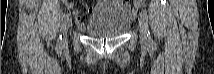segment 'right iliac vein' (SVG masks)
<instances>
[{"label": "right iliac vein", "mask_w": 214, "mask_h": 74, "mask_svg": "<svg viewBox=\"0 0 214 74\" xmlns=\"http://www.w3.org/2000/svg\"><path fill=\"white\" fill-rule=\"evenodd\" d=\"M71 24H72V20L69 17L68 19H66V21L64 22V25H63V32H64L63 42L66 41V39H67V33H68V30H69Z\"/></svg>", "instance_id": "obj_1"}]
</instances>
